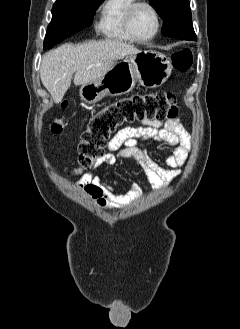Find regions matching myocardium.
<instances>
[{
	"label": "myocardium",
	"instance_id": "myocardium-1",
	"mask_svg": "<svg viewBox=\"0 0 240 329\" xmlns=\"http://www.w3.org/2000/svg\"><path fill=\"white\" fill-rule=\"evenodd\" d=\"M139 7H146L148 8L152 14L154 15L155 21H156V28L154 32L148 36V37H139L133 30L132 27V19L133 15L137 8ZM162 25L161 15L158 11V9L149 1L146 0H136L127 10L126 16H125V29L128 35L137 42H148L153 40L157 34L159 33Z\"/></svg>",
	"mask_w": 240,
	"mask_h": 329
}]
</instances>
